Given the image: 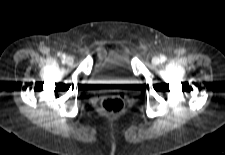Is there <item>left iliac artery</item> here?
<instances>
[{
  "mask_svg": "<svg viewBox=\"0 0 225 155\" xmlns=\"http://www.w3.org/2000/svg\"><path fill=\"white\" fill-rule=\"evenodd\" d=\"M160 61H161V62L166 61V57H165L164 55L160 56Z\"/></svg>",
  "mask_w": 225,
  "mask_h": 155,
  "instance_id": "1",
  "label": "left iliac artery"
}]
</instances>
